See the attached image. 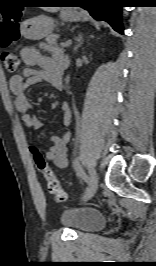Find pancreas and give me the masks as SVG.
<instances>
[{"label": "pancreas", "mask_w": 156, "mask_h": 266, "mask_svg": "<svg viewBox=\"0 0 156 266\" xmlns=\"http://www.w3.org/2000/svg\"><path fill=\"white\" fill-rule=\"evenodd\" d=\"M59 38V35L51 34L46 38V43L41 44L45 49L47 50H53L57 47V39Z\"/></svg>", "instance_id": "obj_1"}]
</instances>
